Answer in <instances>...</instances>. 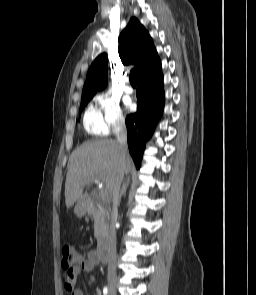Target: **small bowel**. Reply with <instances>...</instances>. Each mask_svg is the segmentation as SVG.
<instances>
[{"label": "small bowel", "instance_id": "1", "mask_svg": "<svg viewBox=\"0 0 256 295\" xmlns=\"http://www.w3.org/2000/svg\"><path fill=\"white\" fill-rule=\"evenodd\" d=\"M99 262L97 252L90 250L74 270L64 273V287L69 295H84L83 291L76 286L77 277L83 272L92 273ZM89 281L91 285H94L95 276L91 274Z\"/></svg>", "mask_w": 256, "mask_h": 295}]
</instances>
